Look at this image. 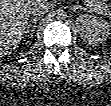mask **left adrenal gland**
<instances>
[{"mask_svg": "<svg viewBox=\"0 0 111 106\" xmlns=\"http://www.w3.org/2000/svg\"><path fill=\"white\" fill-rule=\"evenodd\" d=\"M70 9L73 10V11H76L77 9L86 10V8H84V7L80 6V5L70 6Z\"/></svg>", "mask_w": 111, "mask_h": 106, "instance_id": "a2214340", "label": "left adrenal gland"}]
</instances>
